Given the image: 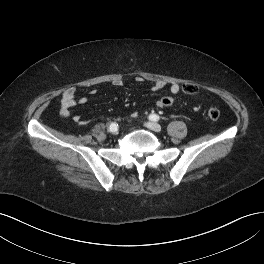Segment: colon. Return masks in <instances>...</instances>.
I'll list each match as a JSON object with an SVG mask.
<instances>
[{
  "instance_id": "1",
  "label": "colon",
  "mask_w": 264,
  "mask_h": 264,
  "mask_svg": "<svg viewBox=\"0 0 264 264\" xmlns=\"http://www.w3.org/2000/svg\"><path fill=\"white\" fill-rule=\"evenodd\" d=\"M182 90L186 94H195L198 91V88L193 83H185L182 85ZM161 107H172L175 104V101L170 96H164L159 101ZM206 115L210 120H218L220 117V111L217 107L211 106L207 109Z\"/></svg>"
}]
</instances>
